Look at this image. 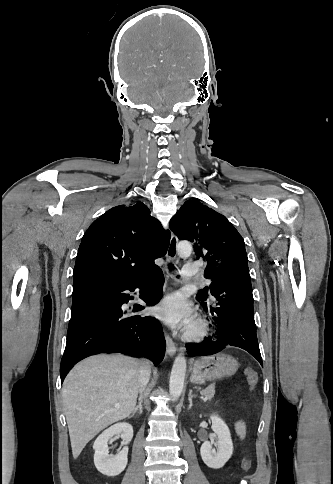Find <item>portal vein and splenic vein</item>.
Instances as JSON below:
<instances>
[{"mask_svg":"<svg viewBox=\"0 0 333 484\" xmlns=\"http://www.w3.org/2000/svg\"><path fill=\"white\" fill-rule=\"evenodd\" d=\"M115 407H116V408H119V407H120V404H116V405H115Z\"/></svg>","mask_w":333,"mask_h":484,"instance_id":"obj_1","label":"portal vein and splenic vein"}]
</instances>
